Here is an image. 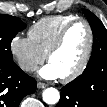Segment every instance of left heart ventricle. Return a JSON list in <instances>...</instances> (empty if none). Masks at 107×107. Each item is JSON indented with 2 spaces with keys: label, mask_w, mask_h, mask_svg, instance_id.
Returning <instances> with one entry per match:
<instances>
[{
  "label": "left heart ventricle",
  "mask_w": 107,
  "mask_h": 107,
  "mask_svg": "<svg viewBox=\"0 0 107 107\" xmlns=\"http://www.w3.org/2000/svg\"><path fill=\"white\" fill-rule=\"evenodd\" d=\"M88 43L85 25H74L68 32L62 47L52 55L50 63L55 66L61 77L72 73L81 63Z\"/></svg>",
  "instance_id": "left-heart-ventricle-1"
}]
</instances>
